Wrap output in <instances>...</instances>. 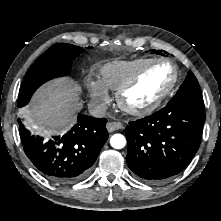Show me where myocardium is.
I'll return each mask as SVG.
<instances>
[{"label":"myocardium","instance_id":"myocardium-1","mask_svg":"<svg viewBox=\"0 0 221 221\" xmlns=\"http://www.w3.org/2000/svg\"><path fill=\"white\" fill-rule=\"evenodd\" d=\"M165 64L171 67L173 71L172 79L169 85L149 104L144 106H133L127 101V93L140 81L145 73L154 65ZM179 69L175 63L171 60L162 59H151L143 67H141L129 80H127L116 93V99L119 107L127 114L137 117H142L153 113L157 110L163 102L172 94L178 80H179Z\"/></svg>","mask_w":221,"mask_h":221}]
</instances>
